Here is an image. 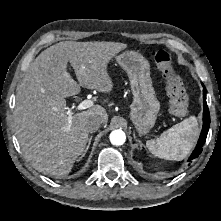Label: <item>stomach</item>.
Wrapping results in <instances>:
<instances>
[{
	"label": "stomach",
	"mask_w": 221,
	"mask_h": 221,
	"mask_svg": "<svg viewBox=\"0 0 221 221\" xmlns=\"http://www.w3.org/2000/svg\"><path fill=\"white\" fill-rule=\"evenodd\" d=\"M117 63L128 74L133 102L130 118L140 134H146L155 124L160 103L150 77L148 60L139 52L125 51L116 56Z\"/></svg>",
	"instance_id": "obj_1"
}]
</instances>
